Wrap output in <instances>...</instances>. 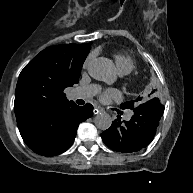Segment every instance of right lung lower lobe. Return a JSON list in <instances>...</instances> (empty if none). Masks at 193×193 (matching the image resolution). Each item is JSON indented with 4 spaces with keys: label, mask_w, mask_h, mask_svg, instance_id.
Wrapping results in <instances>:
<instances>
[{
    "label": "right lung lower lobe",
    "mask_w": 193,
    "mask_h": 193,
    "mask_svg": "<svg viewBox=\"0 0 193 193\" xmlns=\"http://www.w3.org/2000/svg\"><path fill=\"white\" fill-rule=\"evenodd\" d=\"M93 106L75 105L59 120L37 130L20 132L26 145L43 156H54L66 151L73 143L79 123L92 116Z\"/></svg>",
    "instance_id": "1"
}]
</instances>
